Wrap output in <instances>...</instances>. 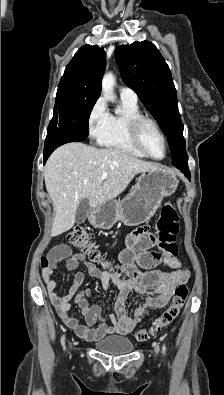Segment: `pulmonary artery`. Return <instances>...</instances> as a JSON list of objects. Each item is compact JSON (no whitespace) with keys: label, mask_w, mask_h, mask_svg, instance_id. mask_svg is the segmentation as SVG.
I'll use <instances>...</instances> for the list:
<instances>
[{"label":"pulmonary artery","mask_w":224,"mask_h":395,"mask_svg":"<svg viewBox=\"0 0 224 395\" xmlns=\"http://www.w3.org/2000/svg\"><path fill=\"white\" fill-rule=\"evenodd\" d=\"M119 93L122 99L129 100L132 102H137L138 100L137 94L128 87H121Z\"/></svg>","instance_id":"e3ab8cb5"}]
</instances>
